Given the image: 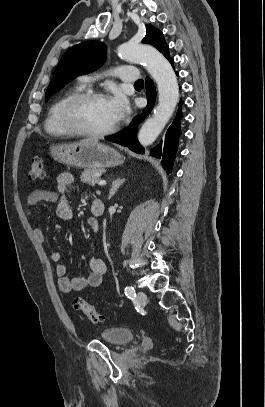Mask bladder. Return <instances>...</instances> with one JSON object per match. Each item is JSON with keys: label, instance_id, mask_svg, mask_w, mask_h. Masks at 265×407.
<instances>
[{"label": "bladder", "instance_id": "1", "mask_svg": "<svg viewBox=\"0 0 265 407\" xmlns=\"http://www.w3.org/2000/svg\"><path fill=\"white\" fill-rule=\"evenodd\" d=\"M102 339L115 346L130 343L135 338V332L123 327H110L101 331Z\"/></svg>", "mask_w": 265, "mask_h": 407}]
</instances>
